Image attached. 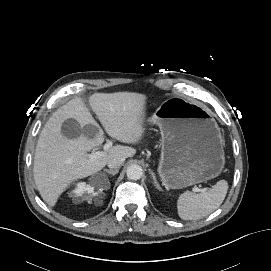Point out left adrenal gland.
<instances>
[{"label":"left adrenal gland","instance_id":"obj_1","mask_svg":"<svg viewBox=\"0 0 271 271\" xmlns=\"http://www.w3.org/2000/svg\"><path fill=\"white\" fill-rule=\"evenodd\" d=\"M150 173H151V176H152L154 185L159 189L160 186H159V184H158V182H157V180H156V176H155L154 172H153V171H150Z\"/></svg>","mask_w":271,"mask_h":271}]
</instances>
